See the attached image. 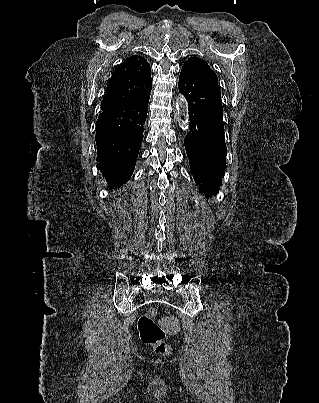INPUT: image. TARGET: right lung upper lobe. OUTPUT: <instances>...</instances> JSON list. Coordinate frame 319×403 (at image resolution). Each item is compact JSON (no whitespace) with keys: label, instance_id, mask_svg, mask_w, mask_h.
<instances>
[{"label":"right lung upper lobe","instance_id":"cb5924a9","mask_svg":"<svg viewBox=\"0 0 319 403\" xmlns=\"http://www.w3.org/2000/svg\"><path fill=\"white\" fill-rule=\"evenodd\" d=\"M151 87V70L147 60L133 55L115 69L101 110L140 99L150 93Z\"/></svg>","mask_w":319,"mask_h":403}]
</instances>
